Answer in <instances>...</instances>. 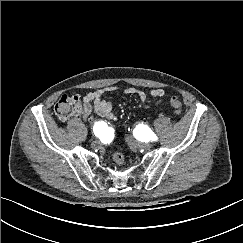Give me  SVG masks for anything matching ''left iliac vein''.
<instances>
[{"mask_svg":"<svg viewBox=\"0 0 243 243\" xmlns=\"http://www.w3.org/2000/svg\"><path fill=\"white\" fill-rule=\"evenodd\" d=\"M128 142L130 143V144H135L138 148H140V149H145V150H149L151 147H152V145L150 144V143H134L132 140H131V138H128Z\"/></svg>","mask_w":243,"mask_h":243,"instance_id":"obj_1","label":"left iliac vein"}]
</instances>
